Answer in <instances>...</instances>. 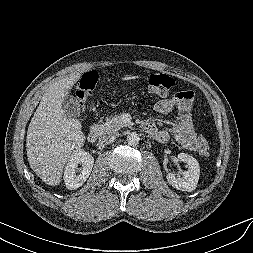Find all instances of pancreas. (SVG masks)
I'll list each match as a JSON object with an SVG mask.
<instances>
[{
    "label": "pancreas",
    "instance_id": "obj_1",
    "mask_svg": "<svg viewBox=\"0 0 253 253\" xmlns=\"http://www.w3.org/2000/svg\"><path fill=\"white\" fill-rule=\"evenodd\" d=\"M125 126H128V124L124 123L120 116L115 115L112 118H107L105 123L100 124L99 131L105 135L116 132Z\"/></svg>",
    "mask_w": 253,
    "mask_h": 253
}]
</instances>
